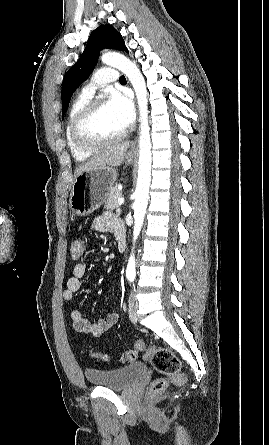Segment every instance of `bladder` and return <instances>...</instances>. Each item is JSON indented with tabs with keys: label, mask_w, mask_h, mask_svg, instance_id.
I'll list each match as a JSON object with an SVG mask.
<instances>
[{
	"label": "bladder",
	"mask_w": 269,
	"mask_h": 445,
	"mask_svg": "<svg viewBox=\"0 0 269 445\" xmlns=\"http://www.w3.org/2000/svg\"><path fill=\"white\" fill-rule=\"evenodd\" d=\"M147 374V366L141 362L117 369H86V381L112 390H126L134 386Z\"/></svg>",
	"instance_id": "1"
}]
</instances>
